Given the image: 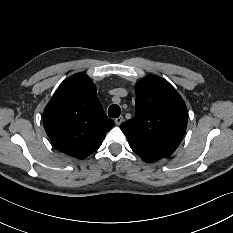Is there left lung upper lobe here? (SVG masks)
<instances>
[{
    "mask_svg": "<svg viewBox=\"0 0 233 233\" xmlns=\"http://www.w3.org/2000/svg\"><path fill=\"white\" fill-rule=\"evenodd\" d=\"M135 91V117L122 123L121 129L139 156L168 158L186 130L185 102L166 80L157 76L139 81Z\"/></svg>",
    "mask_w": 233,
    "mask_h": 233,
    "instance_id": "5c2ea615",
    "label": "left lung upper lobe"
}]
</instances>
